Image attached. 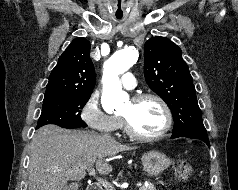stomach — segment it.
Returning a JSON list of instances; mask_svg holds the SVG:
<instances>
[{
    "mask_svg": "<svg viewBox=\"0 0 238 190\" xmlns=\"http://www.w3.org/2000/svg\"><path fill=\"white\" fill-rule=\"evenodd\" d=\"M141 160L144 170L153 177L159 176L171 164L170 159L158 151L144 153Z\"/></svg>",
    "mask_w": 238,
    "mask_h": 190,
    "instance_id": "obj_1",
    "label": "stomach"
}]
</instances>
